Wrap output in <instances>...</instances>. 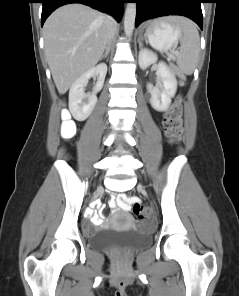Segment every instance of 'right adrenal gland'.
I'll return each mask as SVG.
<instances>
[{
  "label": "right adrenal gland",
  "instance_id": "obj_1",
  "mask_svg": "<svg viewBox=\"0 0 239 296\" xmlns=\"http://www.w3.org/2000/svg\"><path fill=\"white\" fill-rule=\"evenodd\" d=\"M109 53H110V47H108L107 49H106V52H105V54L101 57V59L100 60H102V59H104V58H107L108 57V55H109Z\"/></svg>",
  "mask_w": 239,
  "mask_h": 296
}]
</instances>
